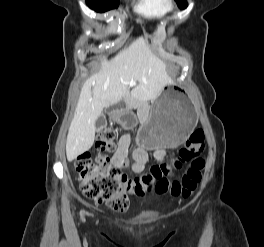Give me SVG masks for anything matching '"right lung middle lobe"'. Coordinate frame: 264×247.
Returning <instances> with one entry per match:
<instances>
[{
    "instance_id": "1",
    "label": "right lung middle lobe",
    "mask_w": 264,
    "mask_h": 247,
    "mask_svg": "<svg viewBox=\"0 0 264 247\" xmlns=\"http://www.w3.org/2000/svg\"><path fill=\"white\" fill-rule=\"evenodd\" d=\"M87 5L96 12H106L117 8L119 0H86Z\"/></svg>"
}]
</instances>
